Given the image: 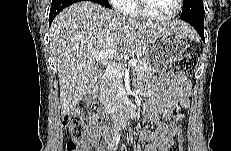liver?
<instances>
[{"label":"liver","instance_id":"6515ba94","mask_svg":"<svg viewBox=\"0 0 231 151\" xmlns=\"http://www.w3.org/2000/svg\"><path fill=\"white\" fill-rule=\"evenodd\" d=\"M168 29L193 37V28L182 21L165 24L140 23L92 1L76 2L53 20L50 47L57 66L61 115L71 112L96 83L98 64L92 52L115 48L108 58L127 53L143 54Z\"/></svg>","mask_w":231,"mask_h":151}]
</instances>
